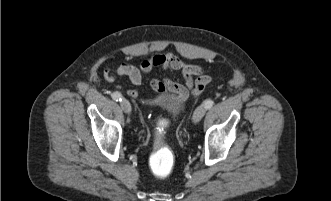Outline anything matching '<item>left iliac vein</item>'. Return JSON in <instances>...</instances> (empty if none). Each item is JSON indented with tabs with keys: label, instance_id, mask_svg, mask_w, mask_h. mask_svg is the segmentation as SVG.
I'll use <instances>...</instances> for the list:
<instances>
[{
	"label": "left iliac vein",
	"instance_id": "obj_1",
	"mask_svg": "<svg viewBox=\"0 0 331 201\" xmlns=\"http://www.w3.org/2000/svg\"><path fill=\"white\" fill-rule=\"evenodd\" d=\"M206 113V108L204 105L197 107L193 113L192 120L194 123H198Z\"/></svg>",
	"mask_w": 331,
	"mask_h": 201
}]
</instances>
